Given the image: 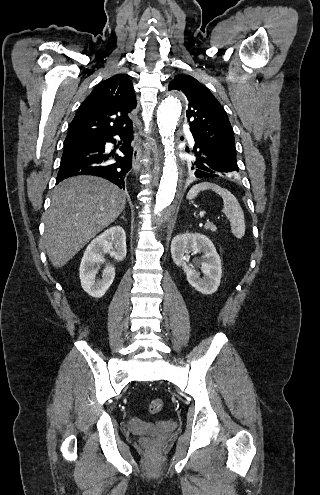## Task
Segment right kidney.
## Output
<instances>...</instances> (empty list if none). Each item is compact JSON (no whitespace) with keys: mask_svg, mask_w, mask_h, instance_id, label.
<instances>
[{"mask_svg":"<svg viewBox=\"0 0 320 495\" xmlns=\"http://www.w3.org/2000/svg\"><path fill=\"white\" fill-rule=\"evenodd\" d=\"M126 234L121 226H114L91 241L81 260L79 276L83 290L94 298L102 297L115 278L114 265H107L101 279L96 278L99 265L105 261L104 254L109 252L115 260L126 257Z\"/></svg>","mask_w":320,"mask_h":495,"instance_id":"1","label":"right kidney"}]
</instances>
